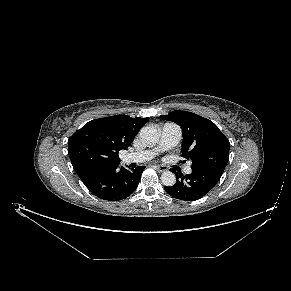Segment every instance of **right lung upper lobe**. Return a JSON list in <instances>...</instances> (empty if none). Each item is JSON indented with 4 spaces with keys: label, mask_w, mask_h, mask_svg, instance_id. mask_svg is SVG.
<instances>
[{
    "label": "right lung upper lobe",
    "mask_w": 291,
    "mask_h": 291,
    "mask_svg": "<svg viewBox=\"0 0 291 291\" xmlns=\"http://www.w3.org/2000/svg\"><path fill=\"white\" fill-rule=\"evenodd\" d=\"M148 118L115 115L92 120L68 140V154L76 172L97 163L117 165L119 151L131 145Z\"/></svg>",
    "instance_id": "obj_1"
}]
</instances>
